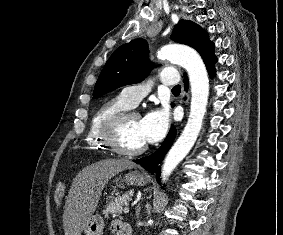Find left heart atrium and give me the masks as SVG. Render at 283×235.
I'll list each match as a JSON object with an SVG mask.
<instances>
[{
	"label": "left heart atrium",
	"instance_id": "1",
	"mask_svg": "<svg viewBox=\"0 0 283 235\" xmlns=\"http://www.w3.org/2000/svg\"><path fill=\"white\" fill-rule=\"evenodd\" d=\"M169 123L168 112L156 109L146 114L140 120V131L145 143L159 141L167 132Z\"/></svg>",
	"mask_w": 283,
	"mask_h": 235
}]
</instances>
